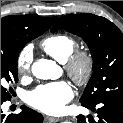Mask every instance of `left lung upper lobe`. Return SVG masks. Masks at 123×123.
<instances>
[{
    "instance_id": "left-lung-upper-lobe-1",
    "label": "left lung upper lobe",
    "mask_w": 123,
    "mask_h": 123,
    "mask_svg": "<svg viewBox=\"0 0 123 123\" xmlns=\"http://www.w3.org/2000/svg\"><path fill=\"white\" fill-rule=\"evenodd\" d=\"M65 29L80 36L93 59V73L80 98L90 105L108 97L123 96V34L115 24L93 14L60 18L51 31Z\"/></svg>"
}]
</instances>
